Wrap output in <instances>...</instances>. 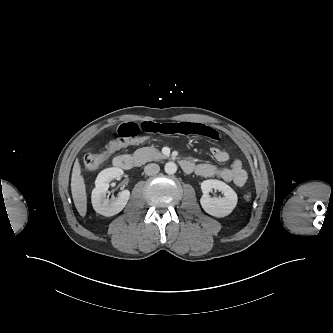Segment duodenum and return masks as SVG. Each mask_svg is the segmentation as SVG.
<instances>
[{
    "instance_id": "410a0bca",
    "label": "duodenum",
    "mask_w": 333,
    "mask_h": 333,
    "mask_svg": "<svg viewBox=\"0 0 333 333\" xmlns=\"http://www.w3.org/2000/svg\"><path fill=\"white\" fill-rule=\"evenodd\" d=\"M139 163V160L131 155L125 154V155H119L114 159V165L121 169H131L132 167L136 166ZM181 168L184 172L190 173L193 168L194 164L187 160V159H181L180 160Z\"/></svg>"
}]
</instances>
